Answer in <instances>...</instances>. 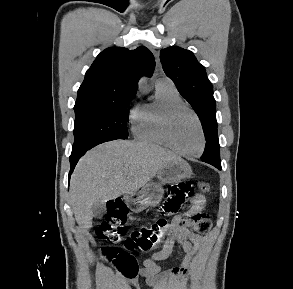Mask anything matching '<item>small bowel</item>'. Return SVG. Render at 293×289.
<instances>
[{"instance_id": "c3829d8e", "label": "small bowel", "mask_w": 293, "mask_h": 289, "mask_svg": "<svg viewBox=\"0 0 293 289\" xmlns=\"http://www.w3.org/2000/svg\"><path fill=\"white\" fill-rule=\"evenodd\" d=\"M191 203L190 209L174 216L160 241L162 242V248L152 253L139 270L138 276L145 280L149 289H168V284L173 280L179 279L183 282L188 280L193 259L204 245L203 234L208 232L210 228L207 216L202 215L205 197L201 194H195L191 199ZM187 220L191 221V223L186 224L185 221ZM182 221H184L185 225L181 224ZM197 224H200L201 228H197ZM190 227H194L198 232L191 230ZM175 243L180 244L185 251L183 261L173 268L157 265V261H162L169 257ZM129 285L132 289H138L136 279H133Z\"/></svg>"}]
</instances>
